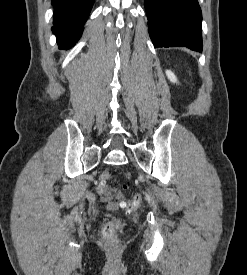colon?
Instances as JSON below:
<instances>
[{"label":"colon","mask_w":247,"mask_h":275,"mask_svg":"<svg viewBox=\"0 0 247 275\" xmlns=\"http://www.w3.org/2000/svg\"><path fill=\"white\" fill-rule=\"evenodd\" d=\"M109 172H103L100 175V183L97 187V191L101 195H107L110 190L106 185V181L110 179ZM121 197V196H120ZM142 203V196L140 194H134L129 199H120V206L128 211L136 210ZM122 227V221L118 219L107 222L102 228L103 238L110 243H114L116 240L117 232Z\"/></svg>","instance_id":"1"}]
</instances>
